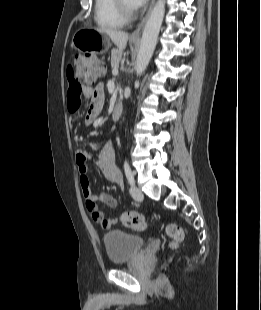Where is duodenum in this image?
<instances>
[{"mask_svg": "<svg viewBox=\"0 0 261 310\" xmlns=\"http://www.w3.org/2000/svg\"><path fill=\"white\" fill-rule=\"evenodd\" d=\"M122 111H123L122 103H120V102L116 103V105L113 108L112 117L115 120H118L122 115Z\"/></svg>", "mask_w": 261, "mask_h": 310, "instance_id": "410a0bca", "label": "duodenum"}]
</instances>
